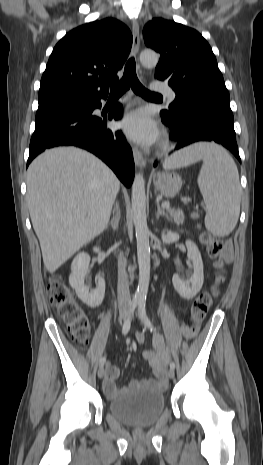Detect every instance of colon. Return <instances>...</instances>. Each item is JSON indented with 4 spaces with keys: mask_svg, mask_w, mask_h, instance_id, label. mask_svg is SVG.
Listing matches in <instances>:
<instances>
[{
    "mask_svg": "<svg viewBox=\"0 0 263 465\" xmlns=\"http://www.w3.org/2000/svg\"><path fill=\"white\" fill-rule=\"evenodd\" d=\"M201 241L205 245L208 254L216 260V268L223 269L224 262L222 255L224 247L222 242L208 233L201 235ZM223 281L224 278L222 276L218 277L215 281V286H219ZM48 295L58 315L66 324L72 339L77 342H85L90 329L88 318L59 275H54L50 278ZM211 305L212 296L209 292H203L196 297L190 310V321L192 323L190 329L193 332L197 324L205 317Z\"/></svg>",
    "mask_w": 263,
    "mask_h": 465,
    "instance_id": "colon-1",
    "label": "colon"
}]
</instances>
